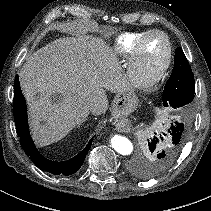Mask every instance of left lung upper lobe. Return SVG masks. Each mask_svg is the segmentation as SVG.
Segmentation results:
<instances>
[{
    "instance_id": "1",
    "label": "left lung upper lobe",
    "mask_w": 211,
    "mask_h": 211,
    "mask_svg": "<svg viewBox=\"0 0 211 211\" xmlns=\"http://www.w3.org/2000/svg\"><path fill=\"white\" fill-rule=\"evenodd\" d=\"M195 93V82L192 69L180 47L176 48L174 68L165 84L162 101L165 107L188 111L191 108Z\"/></svg>"
}]
</instances>
